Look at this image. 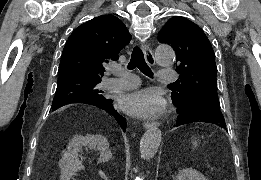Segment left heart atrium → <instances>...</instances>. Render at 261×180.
<instances>
[{
	"label": "left heart atrium",
	"mask_w": 261,
	"mask_h": 180,
	"mask_svg": "<svg viewBox=\"0 0 261 180\" xmlns=\"http://www.w3.org/2000/svg\"><path fill=\"white\" fill-rule=\"evenodd\" d=\"M121 108L136 117L160 114L165 108V100L156 89H142L125 93L120 97Z\"/></svg>",
	"instance_id": "1"
}]
</instances>
